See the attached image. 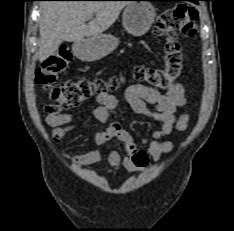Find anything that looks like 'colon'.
Returning <instances> with one entry per match:
<instances>
[{
  "label": "colon",
  "mask_w": 234,
  "mask_h": 231,
  "mask_svg": "<svg viewBox=\"0 0 234 231\" xmlns=\"http://www.w3.org/2000/svg\"><path fill=\"white\" fill-rule=\"evenodd\" d=\"M196 17V9L188 4L174 5L160 14L156 23V34L165 39L163 65L159 68L137 67L134 71L137 80L159 89H169L177 82L183 70V57L175 36L178 32L194 36L197 30ZM70 58L69 50L62 49L46 59L36 73V82L47 90L59 110L73 109L118 85L115 79L108 82L101 79H82L67 80L55 86L58 75L67 68ZM130 149L133 152V163L138 167L145 166L148 161L147 154L136 149L134 145H131Z\"/></svg>",
  "instance_id": "colon-1"
}]
</instances>
